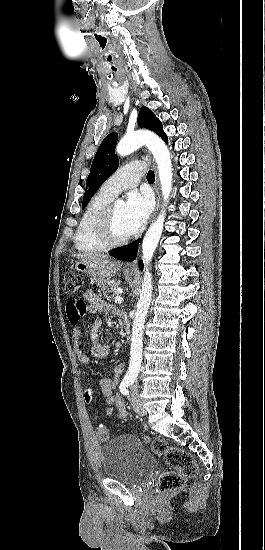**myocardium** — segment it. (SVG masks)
<instances>
[{
  "instance_id": "myocardium-1",
  "label": "myocardium",
  "mask_w": 265,
  "mask_h": 550,
  "mask_svg": "<svg viewBox=\"0 0 265 550\" xmlns=\"http://www.w3.org/2000/svg\"><path fill=\"white\" fill-rule=\"evenodd\" d=\"M114 203L107 205L101 214L99 215L96 224L95 230L98 237L108 246L115 247L127 243L131 238L132 234L118 237L115 235L113 230V210Z\"/></svg>"
}]
</instances>
